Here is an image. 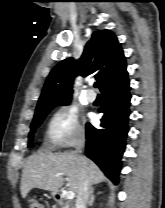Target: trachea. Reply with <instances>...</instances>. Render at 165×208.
Wrapping results in <instances>:
<instances>
[{
	"mask_svg": "<svg viewBox=\"0 0 165 208\" xmlns=\"http://www.w3.org/2000/svg\"><path fill=\"white\" fill-rule=\"evenodd\" d=\"M94 87H95V88H98V87H99L98 82H95Z\"/></svg>",
	"mask_w": 165,
	"mask_h": 208,
	"instance_id": "3493384b",
	"label": "trachea"
}]
</instances>
